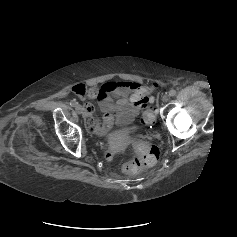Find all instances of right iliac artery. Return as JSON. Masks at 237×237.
<instances>
[{
    "instance_id": "82829eb1",
    "label": "right iliac artery",
    "mask_w": 237,
    "mask_h": 237,
    "mask_svg": "<svg viewBox=\"0 0 237 237\" xmlns=\"http://www.w3.org/2000/svg\"><path fill=\"white\" fill-rule=\"evenodd\" d=\"M70 105L75 107L78 105V102L76 100H71Z\"/></svg>"
}]
</instances>
